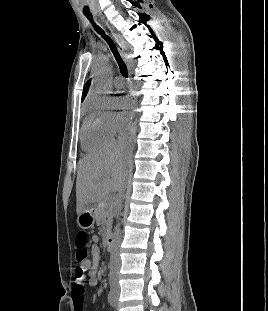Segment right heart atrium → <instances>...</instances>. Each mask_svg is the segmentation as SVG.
Here are the masks:
<instances>
[{
	"label": "right heart atrium",
	"instance_id": "obj_1",
	"mask_svg": "<svg viewBox=\"0 0 268 311\" xmlns=\"http://www.w3.org/2000/svg\"><path fill=\"white\" fill-rule=\"evenodd\" d=\"M89 109L112 136L125 129L124 118L114 111V107L108 98L96 97L91 99Z\"/></svg>",
	"mask_w": 268,
	"mask_h": 311
}]
</instances>
